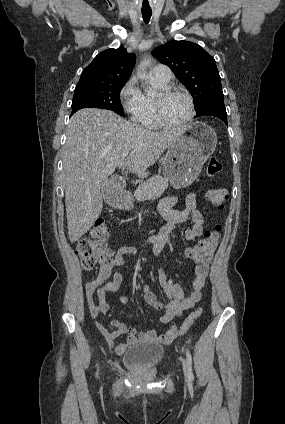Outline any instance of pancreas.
Masks as SVG:
<instances>
[{
	"label": "pancreas",
	"instance_id": "1",
	"mask_svg": "<svg viewBox=\"0 0 285 424\" xmlns=\"http://www.w3.org/2000/svg\"><path fill=\"white\" fill-rule=\"evenodd\" d=\"M168 186L169 183L165 178L155 175L137 187L134 197L138 202L155 199L160 197Z\"/></svg>",
	"mask_w": 285,
	"mask_h": 424
}]
</instances>
